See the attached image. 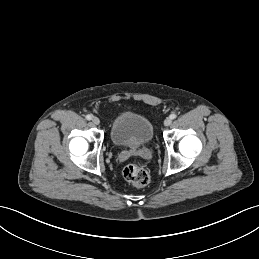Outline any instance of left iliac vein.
Instances as JSON below:
<instances>
[{
  "mask_svg": "<svg viewBox=\"0 0 259 259\" xmlns=\"http://www.w3.org/2000/svg\"><path fill=\"white\" fill-rule=\"evenodd\" d=\"M171 123H172L171 118H166V119L164 120V125H165V126H169Z\"/></svg>",
  "mask_w": 259,
  "mask_h": 259,
  "instance_id": "obj_1",
  "label": "left iliac vein"
}]
</instances>
